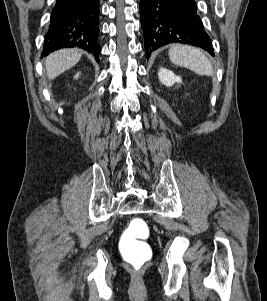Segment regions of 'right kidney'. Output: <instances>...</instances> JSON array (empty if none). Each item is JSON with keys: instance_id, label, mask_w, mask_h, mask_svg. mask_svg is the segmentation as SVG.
Instances as JSON below:
<instances>
[{"instance_id": "1", "label": "right kidney", "mask_w": 267, "mask_h": 301, "mask_svg": "<svg viewBox=\"0 0 267 301\" xmlns=\"http://www.w3.org/2000/svg\"><path fill=\"white\" fill-rule=\"evenodd\" d=\"M78 76H79V73H78V74H76L75 78H78Z\"/></svg>"}]
</instances>
